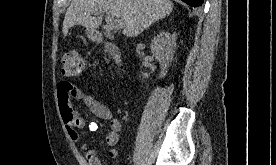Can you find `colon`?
I'll return each instance as SVG.
<instances>
[{"label": "colon", "mask_w": 276, "mask_h": 165, "mask_svg": "<svg viewBox=\"0 0 276 165\" xmlns=\"http://www.w3.org/2000/svg\"><path fill=\"white\" fill-rule=\"evenodd\" d=\"M84 68L85 61L76 51H68L63 55L61 72L64 76L80 75Z\"/></svg>", "instance_id": "obj_1"}]
</instances>
